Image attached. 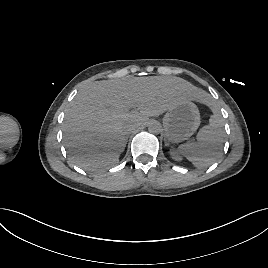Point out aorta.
Instances as JSON below:
<instances>
[{"mask_svg": "<svg viewBox=\"0 0 268 268\" xmlns=\"http://www.w3.org/2000/svg\"><path fill=\"white\" fill-rule=\"evenodd\" d=\"M148 131L153 134H159L162 131V125L160 122L153 120L148 125Z\"/></svg>", "mask_w": 268, "mask_h": 268, "instance_id": "obj_1", "label": "aorta"}]
</instances>
